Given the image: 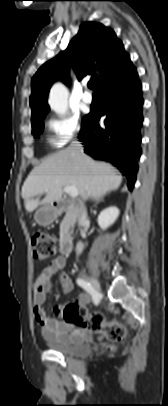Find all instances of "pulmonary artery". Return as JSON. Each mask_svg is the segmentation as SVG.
<instances>
[{
    "instance_id": "1",
    "label": "pulmonary artery",
    "mask_w": 168,
    "mask_h": 406,
    "mask_svg": "<svg viewBox=\"0 0 168 406\" xmlns=\"http://www.w3.org/2000/svg\"><path fill=\"white\" fill-rule=\"evenodd\" d=\"M82 100L86 104H91L92 101H93L92 94L90 92H88V91H84V93L82 94Z\"/></svg>"
}]
</instances>
